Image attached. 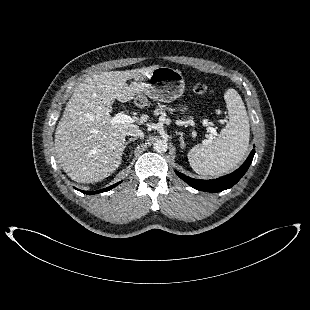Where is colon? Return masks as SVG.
I'll list each match as a JSON object with an SVG mask.
<instances>
[{
  "label": "colon",
  "mask_w": 310,
  "mask_h": 310,
  "mask_svg": "<svg viewBox=\"0 0 310 310\" xmlns=\"http://www.w3.org/2000/svg\"><path fill=\"white\" fill-rule=\"evenodd\" d=\"M192 90L197 95H203L207 92V87L201 83H196L192 86Z\"/></svg>",
  "instance_id": "colon-1"
}]
</instances>
